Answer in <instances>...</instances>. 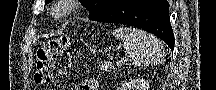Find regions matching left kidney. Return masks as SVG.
<instances>
[{"instance_id":"1","label":"left kidney","mask_w":216,"mask_h":90,"mask_svg":"<svg viewBox=\"0 0 216 90\" xmlns=\"http://www.w3.org/2000/svg\"><path fill=\"white\" fill-rule=\"evenodd\" d=\"M121 90H149V84L147 80L139 78V80H131V82L122 84Z\"/></svg>"}]
</instances>
